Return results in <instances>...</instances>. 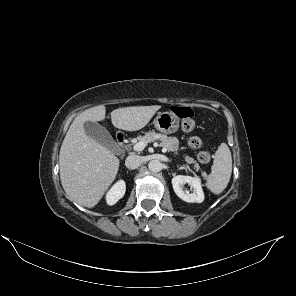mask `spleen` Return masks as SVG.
Segmentation results:
<instances>
[{"mask_svg":"<svg viewBox=\"0 0 296 296\" xmlns=\"http://www.w3.org/2000/svg\"><path fill=\"white\" fill-rule=\"evenodd\" d=\"M232 173V156L226 143H221L215 153L211 173L207 177V188L220 194L228 185Z\"/></svg>","mask_w":296,"mask_h":296,"instance_id":"spleen-1","label":"spleen"}]
</instances>
